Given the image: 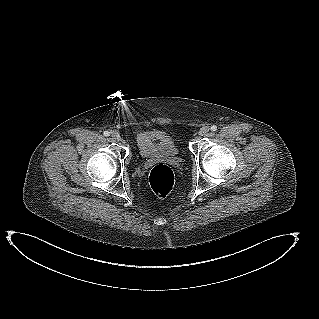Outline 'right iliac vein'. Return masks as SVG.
<instances>
[{"instance_id":"obj_1","label":"right iliac vein","mask_w":319,"mask_h":319,"mask_svg":"<svg viewBox=\"0 0 319 319\" xmlns=\"http://www.w3.org/2000/svg\"><path fill=\"white\" fill-rule=\"evenodd\" d=\"M111 137L115 141H119L121 139V136L118 132H112Z\"/></svg>"}]
</instances>
